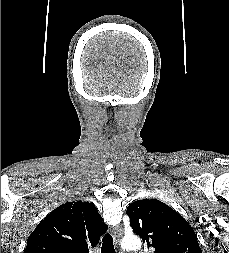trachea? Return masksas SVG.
Instances as JSON below:
<instances>
[{
    "mask_svg": "<svg viewBox=\"0 0 229 253\" xmlns=\"http://www.w3.org/2000/svg\"><path fill=\"white\" fill-rule=\"evenodd\" d=\"M101 253H115L113 238L110 234H105L103 237Z\"/></svg>",
    "mask_w": 229,
    "mask_h": 253,
    "instance_id": "trachea-1",
    "label": "trachea"
}]
</instances>
